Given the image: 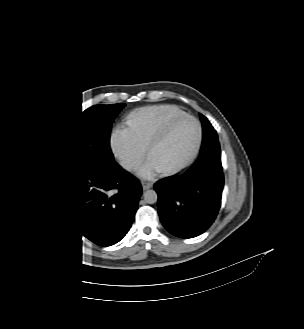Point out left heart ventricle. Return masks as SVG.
Wrapping results in <instances>:
<instances>
[{
    "label": "left heart ventricle",
    "instance_id": "obj_1",
    "mask_svg": "<svg viewBox=\"0 0 304 329\" xmlns=\"http://www.w3.org/2000/svg\"><path fill=\"white\" fill-rule=\"evenodd\" d=\"M197 138V124L191 119H184L177 123L168 137L151 151L148 162L157 170L176 166L190 155Z\"/></svg>",
    "mask_w": 304,
    "mask_h": 329
}]
</instances>
